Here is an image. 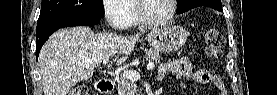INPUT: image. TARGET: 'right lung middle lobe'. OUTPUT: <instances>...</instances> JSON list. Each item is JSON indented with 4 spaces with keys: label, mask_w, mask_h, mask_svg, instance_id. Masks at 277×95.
I'll use <instances>...</instances> for the list:
<instances>
[{
    "label": "right lung middle lobe",
    "mask_w": 277,
    "mask_h": 95,
    "mask_svg": "<svg viewBox=\"0 0 277 95\" xmlns=\"http://www.w3.org/2000/svg\"><path fill=\"white\" fill-rule=\"evenodd\" d=\"M102 0H42L37 24L53 20L103 18Z\"/></svg>",
    "instance_id": "obj_1"
}]
</instances>
